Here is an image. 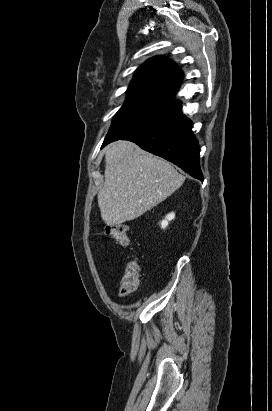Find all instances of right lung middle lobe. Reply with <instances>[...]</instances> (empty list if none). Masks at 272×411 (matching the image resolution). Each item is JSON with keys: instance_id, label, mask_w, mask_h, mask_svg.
Segmentation results:
<instances>
[{"instance_id": "dd1d6c3e", "label": "right lung middle lobe", "mask_w": 272, "mask_h": 411, "mask_svg": "<svg viewBox=\"0 0 272 411\" xmlns=\"http://www.w3.org/2000/svg\"><path fill=\"white\" fill-rule=\"evenodd\" d=\"M178 104H170L143 93L129 92L126 102L115 114L107 134L110 138H121L151 125L178 111Z\"/></svg>"}]
</instances>
